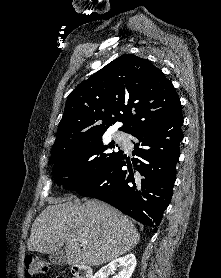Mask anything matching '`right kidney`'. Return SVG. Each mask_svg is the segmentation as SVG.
<instances>
[{
    "instance_id": "ca27d5eb",
    "label": "right kidney",
    "mask_w": 221,
    "mask_h": 278,
    "mask_svg": "<svg viewBox=\"0 0 221 278\" xmlns=\"http://www.w3.org/2000/svg\"><path fill=\"white\" fill-rule=\"evenodd\" d=\"M136 257L134 254H127L124 257H120L110 264L102 267L93 278H108L111 273H114L118 269V274L114 278H131L135 267Z\"/></svg>"
}]
</instances>
